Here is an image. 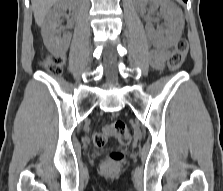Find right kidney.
<instances>
[{
  "instance_id": "obj_1",
  "label": "right kidney",
  "mask_w": 223,
  "mask_h": 191,
  "mask_svg": "<svg viewBox=\"0 0 223 191\" xmlns=\"http://www.w3.org/2000/svg\"><path fill=\"white\" fill-rule=\"evenodd\" d=\"M77 4V0H60L53 6L45 20L42 37L48 50L55 55L64 54L69 47L72 34L65 31L61 35V18L68 8H75Z\"/></svg>"
}]
</instances>
